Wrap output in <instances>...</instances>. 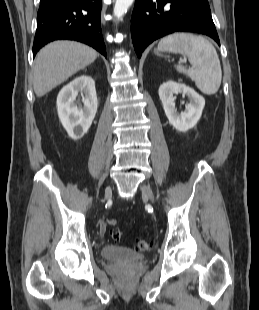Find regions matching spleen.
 I'll use <instances>...</instances> for the list:
<instances>
[{"mask_svg":"<svg viewBox=\"0 0 259 310\" xmlns=\"http://www.w3.org/2000/svg\"><path fill=\"white\" fill-rule=\"evenodd\" d=\"M158 50L186 55L193 68L186 69L179 64L175 66L176 70L189 75L204 94L217 93L222 80L221 64L215 47L206 38L191 33H174L160 40Z\"/></svg>","mask_w":259,"mask_h":310,"instance_id":"3e777b00","label":"spleen"}]
</instances>
